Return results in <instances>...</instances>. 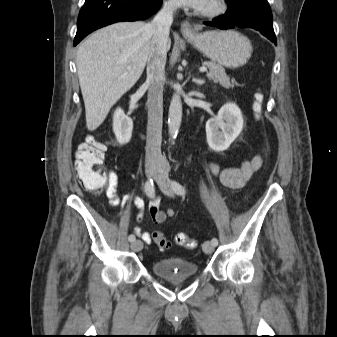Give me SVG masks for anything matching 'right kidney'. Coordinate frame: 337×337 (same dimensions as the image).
Instances as JSON below:
<instances>
[{"mask_svg":"<svg viewBox=\"0 0 337 337\" xmlns=\"http://www.w3.org/2000/svg\"><path fill=\"white\" fill-rule=\"evenodd\" d=\"M133 121L124 114L121 108H117L113 116V131L120 144H126L132 136Z\"/></svg>","mask_w":337,"mask_h":337,"instance_id":"1","label":"right kidney"}]
</instances>
